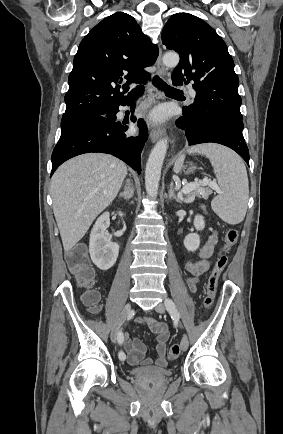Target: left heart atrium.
<instances>
[{
    "mask_svg": "<svg viewBox=\"0 0 283 434\" xmlns=\"http://www.w3.org/2000/svg\"><path fill=\"white\" fill-rule=\"evenodd\" d=\"M166 117H167V111L164 108L160 107L154 109L151 112L149 116V121L153 124H157L164 121Z\"/></svg>",
    "mask_w": 283,
    "mask_h": 434,
    "instance_id": "left-heart-atrium-1",
    "label": "left heart atrium"
}]
</instances>
